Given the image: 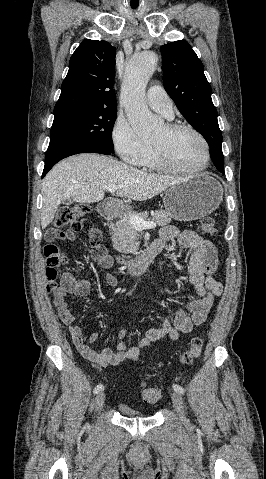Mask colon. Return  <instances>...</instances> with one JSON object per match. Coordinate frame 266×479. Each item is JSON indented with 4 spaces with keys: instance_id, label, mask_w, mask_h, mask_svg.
<instances>
[{
    "instance_id": "obj_1",
    "label": "colon",
    "mask_w": 266,
    "mask_h": 479,
    "mask_svg": "<svg viewBox=\"0 0 266 479\" xmlns=\"http://www.w3.org/2000/svg\"><path fill=\"white\" fill-rule=\"evenodd\" d=\"M91 207L87 203H79L71 206L62 207L57 214L56 229L47 233V244L44 247V255L46 258V278L48 289L51 290L56 285L58 279V269L65 262V257L60 248L54 243V239L58 238L59 228L67 227L68 231L78 234L82 233L89 237L90 243L98 245L100 249H104L101 245V233L94 226L92 221L84 218L89 214ZM199 231L206 236H216L217 229L215 221L211 217L203 218L200 222ZM203 340L200 337L193 338L187 349L181 356V362L184 365H190L197 359L202 352ZM142 397L147 403H156L161 398V391L158 388L143 384Z\"/></svg>"
}]
</instances>
